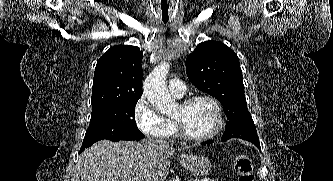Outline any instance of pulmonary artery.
<instances>
[{"mask_svg": "<svg viewBox=\"0 0 333 181\" xmlns=\"http://www.w3.org/2000/svg\"><path fill=\"white\" fill-rule=\"evenodd\" d=\"M169 89L173 96L181 98L186 92V86L180 79H172L169 83Z\"/></svg>", "mask_w": 333, "mask_h": 181, "instance_id": "1", "label": "pulmonary artery"}]
</instances>
